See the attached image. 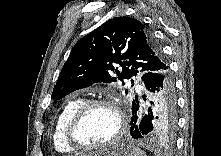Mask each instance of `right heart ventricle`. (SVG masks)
<instances>
[{
    "mask_svg": "<svg viewBox=\"0 0 221 156\" xmlns=\"http://www.w3.org/2000/svg\"><path fill=\"white\" fill-rule=\"evenodd\" d=\"M85 101L82 98L69 100L59 112L52 133V142L55 150L59 153H71L74 148L69 146L64 138L66 123L71 114Z\"/></svg>",
    "mask_w": 221,
    "mask_h": 156,
    "instance_id": "obj_1",
    "label": "right heart ventricle"
}]
</instances>
